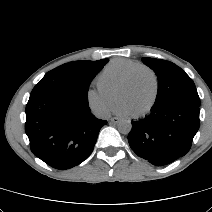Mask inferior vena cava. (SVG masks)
Segmentation results:
<instances>
[{"label": "inferior vena cava", "mask_w": 212, "mask_h": 212, "mask_svg": "<svg viewBox=\"0 0 212 212\" xmlns=\"http://www.w3.org/2000/svg\"><path fill=\"white\" fill-rule=\"evenodd\" d=\"M107 115H108V113L107 112H103V111L97 113V116L100 117V118H107Z\"/></svg>", "instance_id": "obj_1"}]
</instances>
